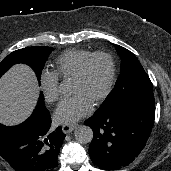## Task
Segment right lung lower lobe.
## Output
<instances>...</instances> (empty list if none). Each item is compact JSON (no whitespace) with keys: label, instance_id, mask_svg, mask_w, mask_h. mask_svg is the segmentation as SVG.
Here are the masks:
<instances>
[{"label":"right lung lower lobe","instance_id":"right-lung-lower-lobe-1","mask_svg":"<svg viewBox=\"0 0 171 171\" xmlns=\"http://www.w3.org/2000/svg\"><path fill=\"white\" fill-rule=\"evenodd\" d=\"M50 127V114L39 105L17 126L0 124V155L16 171H53L65 134L61 127Z\"/></svg>","mask_w":171,"mask_h":171}]
</instances>
